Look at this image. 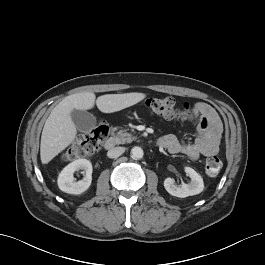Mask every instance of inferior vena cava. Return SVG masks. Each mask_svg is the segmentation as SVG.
<instances>
[{
  "label": "inferior vena cava",
  "mask_w": 265,
  "mask_h": 265,
  "mask_svg": "<svg viewBox=\"0 0 265 265\" xmlns=\"http://www.w3.org/2000/svg\"><path fill=\"white\" fill-rule=\"evenodd\" d=\"M124 151H125V148L124 147H115V148L110 149L107 152V156L109 158H117L120 155H122L124 153Z\"/></svg>",
  "instance_id": "602c4592"
}]
</instances>
